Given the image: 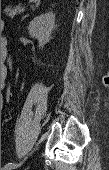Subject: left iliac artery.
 I'll use <instances>...</instances> for the list:
<instances>
[{
	"label": "left iliac artery",
	"instance_id": "1",
	"mask_svg": "<svg viewBox=\"0 0 109 170\" xmlns=\"http://www.w3.org/2000/svg\"><path fill=\"white\" fill-rule=\"evenodd\" d=\"M20 164H17V163H7L3 168L2 170H10L14 167H17L19 166Z\"/></svg>",
	"mask_w": 109,
	"mask_h": 170
}]
</instances>
